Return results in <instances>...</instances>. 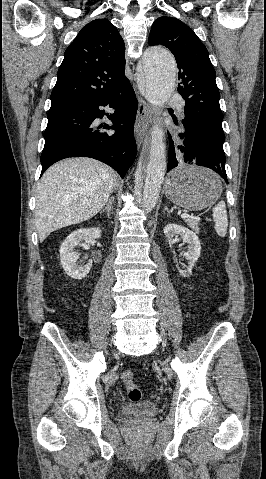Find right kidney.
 <instances>
[{
	"label": "right kidney",
	"mask_w": 266,
	"mask_h": 479,
	"mask_svg": "<svg viewBox=\"0 0 266 479\" xmlns=\"http://www.w3.org/2000/svg\"><path fill=\"white\" fill-rule=\"evenodd\" d=\"M101 235L102 231L98 227L83 228L72 232L64 240L60 248V259L61 265L69 277L81 280L87 276L92 267V261H89L84 266L78 265L76 263L78 256L76 252H74V248L78 246L82 240L98 239Z\"/></svg>",
	"instance_id": "ca27d5eb"
}]
</instances>
